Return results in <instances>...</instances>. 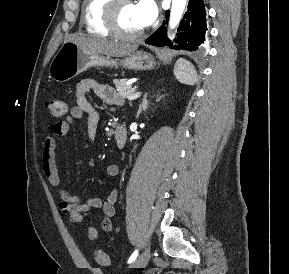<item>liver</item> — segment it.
Listing matches in <instances>:
<instances>
[{
  "label": "liver",
  "instance_id": "liver-1",
  "mask_svg": "<svg viewBox=\"0 0 289 274\" xmlns=\"http://www.w3.org/2000/svg\"><path fill=\"white\" fill-rule=\"evenodd\" d=\"M66 41L74 42L84 50L106 55L107 57H124L137 49L136 45L117 43L99 38L81 37L78 35H70Z\"/></svg>",
  "mask_w": 289,
  "mask_h": 274
}]
</instances>
